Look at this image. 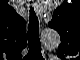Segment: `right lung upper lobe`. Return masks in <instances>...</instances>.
<instances>
[{
	"label": "right lung upper lobe",
	"instance_id": "right-lung-upper-lobe-1",
	"mask_svg": "<svg viewBox=\"0 0 80 60\" xmlns=\"http://www.w3.org/2000/svg\"><path fill=\"white\" fill-rule=\"evenodd\" d=\"M9 15L6 17V27H4L5 40L12 46L21 51L26 45V26L25 21L13 8H8ZM6 29V31H5Z\"/></svg>",
	"mask_w": 80,
	"mask_h": 60
}]
</instances>
